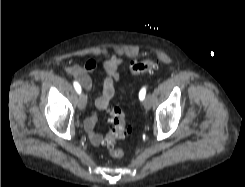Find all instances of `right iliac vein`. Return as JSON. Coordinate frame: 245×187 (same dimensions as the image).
I'll use <instances>...</instances> for the list:
<instances>
[{
	"mask_svg": "<svg viewBox=\"0 0 245 187\" xmlns=\"http://www.w3.org/2000/svg\"><path fill=\"white\" fill-rule=\"evenodd\" d=\"M86 103H87V100H86V96L85 94H82L78 97V108L80 110H84L85 107H86Z\"/></svg>",
	"mask_w": 245,
	"mask_h": 187,
	"instance_id": "63e3f726",
	"label": "right iliac vein"
}]
</instances>
